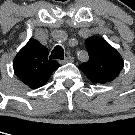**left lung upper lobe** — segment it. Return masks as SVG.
Returning a JSON list of instances; mask_svg holds the SVG:
<instances>
[{
  "label": "left lung upper lobe",
  "mask_w": 135,
  "mask_h": 135,
  "mask_svg": "<svg viewBox=\"0 0 135 135\" xmlns=\"http://www.w3.org/2000/svg\"><path fill=\"white\" fill-rule=\"evenodd\" d=\"M89 60L79 68L93 83H108L114 80L123 69V59L116 49L100 37L86 39Z\"/></svg>",
  "instance_id": "1"
}]
</instances>
